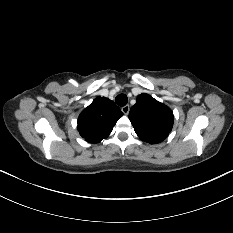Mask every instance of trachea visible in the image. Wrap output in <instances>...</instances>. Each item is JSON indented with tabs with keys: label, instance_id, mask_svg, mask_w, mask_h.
Returning a JSON list of instances; mask_svg holds the SVG:
<instances>
[{
	"label": "trachea",
	"instance_id": "1",
	"mask_svg": "<svg viewBox=\"0 0 233 233\" xmlns=\"http://www.w3.org/2000/svg\"><path fill=\"white\" fill-rule=\"evenodd\" d=\"M115 102L117 103V105L119 106H125L128 102V98L125 94H119L116 98H115Z\"/></svg>",
	"mask_w": 233,
	"mask_h": 233
}]
</instances>
